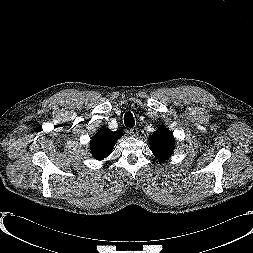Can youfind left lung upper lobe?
Listing matches in <instances>:
<instances>
[{"label": "left lung upper lobe", "instance_id": "1", "mask_svg": "<svg viewBox=\"0 0 253 253\" xmlns=\"http://www.w3.org/2000/svg\"><path fill=\"white\" fill-rule=\"evenodd\" d=\"M174 137L165 128L158 129L149 137L151 150L158 160L168 159L174 150Z\"/></svg>", "mask_w": 253, "mask_h": 253}]
</instances>
